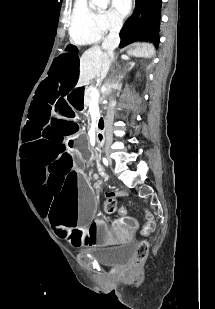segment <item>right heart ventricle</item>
Wrapping results in <instances>:
<instances>
[{
    "label": "right heart ventricle",
    "mask_w": 215,
    "mask_h": 309,
    "mask_svg": "<svg viewBox=\"0 0 215 309\" xmlns=\"http://www.w3.org/2000/svg\"><path fill=\"white\" fill-rule=\"evenodd\" d=\"M70 24V42L76 46H82L87 42H100L103 37V27H98L94 14H87L86 9H77Z\"/></svg>",
    "instance_id": "e07e8e85"
}]
</instances>
